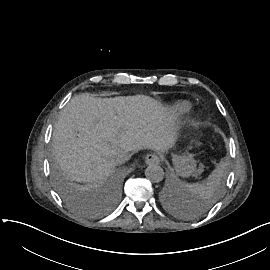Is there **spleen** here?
<instances>
[{
	"instance_id": "1",
	"label": "spleen",
	"mask_w": 270,
	"mask_h": 270,
	"mask_svg": "<svg viewBox=\"0 0 270 270\" xmlns=\"http://www.w3.org/2000/svg\"><path fill=\"white\" fill-rule=\"evenodd\" d=\"M223 176V173H221L219 170H214L211 175H209L206 183L208 185H213V186H219L220 185V181L221 178ZM201 187V185L199 183H195V184H186V188L189 189L190 192H194V194H196V190ZM181 200L185 201V202H190L191 200L189 199L190 194H184L182 193L181 195Z\"/></svg>"
}]
</instances>
